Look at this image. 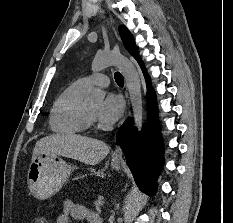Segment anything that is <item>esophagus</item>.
I'll use <instances>...</instances> for the list:
<instances>
[{
    "mask_svg": "<svg viewBox=\"0 0 233 223\" xmlns=\"http://www.w3.org/2000/svg\"><path fill=\"white\" fill-rule=\"evenodd\" d=\"M112 157L115 158V159H121L122 158V150H121L120 146H116Z\"/></svg>",
    "mask_w": 233,
    "mask_h": 223,
    "instance_id": "esophagus-1",
    "label": "esophagus"
}]
</instances>
